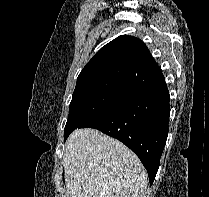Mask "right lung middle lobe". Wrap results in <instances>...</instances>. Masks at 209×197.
Masks as SVG:
<instances>
[{"label":"right lung middle lobe","mask_w":209,"mask_h":197,"mask_svg":"<svg viewBox=\"0 0 209 197\" xmlns=\"http://www.w3.org/2000/svg\"><path fill=\"white\" fill-rule=\"evenodd\" d=\"M138 90L115 81L77 82L69 107L64 139L76 128L124 101Z\"/></svg>","instance_id":"right-lung-middle-lobe-1"}]
</instances>
